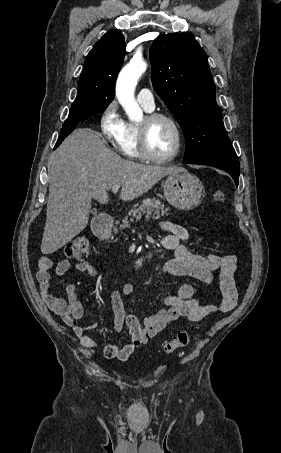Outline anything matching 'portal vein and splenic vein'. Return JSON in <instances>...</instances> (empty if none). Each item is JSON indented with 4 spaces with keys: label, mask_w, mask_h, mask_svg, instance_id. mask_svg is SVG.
<instances>
[{
    "label": "portal vein and splenic vein",
    "mask_w": 281,
    "mask_h": 453,
    "mask_svg": "<svg viewBox=\"0 0 281 453\" xmlns=\"http://www.w3.org/2000/svg\"><path fill=\"white\" fill-rule=\"evenodd\" d=\"M119 188H120V184H114V186H112L111 190H112V192H118Z\"/></svg>",
    "instance_id": "18ae733b"
}]
</instances>
